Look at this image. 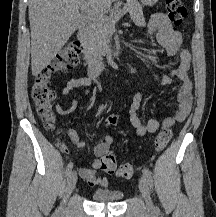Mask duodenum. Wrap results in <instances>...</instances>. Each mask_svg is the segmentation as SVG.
I'll use <instances>...</instances> for the list:
<instances>
[{"label": "duodenum", "mask_w": 216, "mask_h": 217, "mask_svg": "<svg viewBox=\"0 0 216 217\" xmlns=\"http://www.w3.org/2000/svg\"><path fill=\"white\" fill-rule=\"evenodd\" d=\"M87 27H83L78 31V38L82 43H85L87 40ZM123 50V46H115L110 49L109 58L114 59L117 57ZM87 61L89 64L88 72L91 76H95L100 73L105 66L108 64V59L99 61L96 53H89L87 56Z\"/></svg>", "instance_id": "obj_1"}]
</instances>
